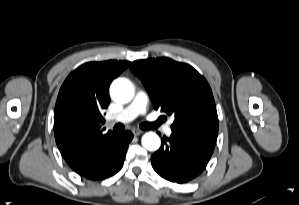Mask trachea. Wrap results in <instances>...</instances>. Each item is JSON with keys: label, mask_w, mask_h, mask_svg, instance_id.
<instances>
[{"label": "trachea", "mask_w": 299, "mask_h": 205, "mask_svg": "<svg viewBox=\"0 0 299 205\" xmlns=\"http://www.w3.org/2000/svg\"><path fill=\"white\" fill-rule=\"evenodd\" d=\"M161 120H158L157 122H153V123H142L140 124V128L144 129V130H149V129H154L156 127H158V125L160 124ZM114 131L117 133H121L124 131V126L122 124H116L114 126Z\"/></svg>", "instance_id": "obj_1"}]
</instances>
